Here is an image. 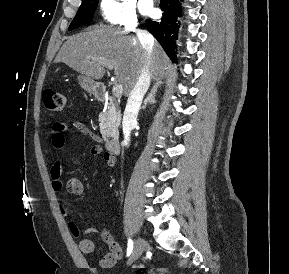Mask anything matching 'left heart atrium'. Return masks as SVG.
I'll return each mask as SVG.
<instances>
[{
  "mask_svg": "<svg viewBox=\"0 0 289 274\" xmlns=\"http://www.w3.org/2000/svg\"><path fill=\"white\" fill-rule=\"evenodd\" d=\"M140 10L144 14H151L153 12V5L151 0H141L140 2Z\"/></svg>",
  "mask_w": 289,
  "mask_h": 274,
  "instance_id": "left-heart-atrium-1",
  "label": "left heart atrium"
}]
</instances>
